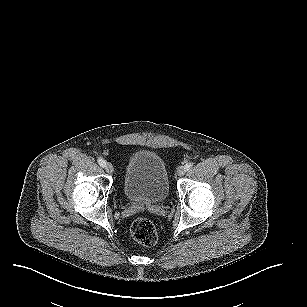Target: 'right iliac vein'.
Segmentation results:
<instances>
[{
  "mask_svg": "<svg viewBox=\"0 0 307 307\" xmlns=\"http://www.w3.org/2000/svg\"><path fill=\"white\" fill-rule=\"evenodd\" d=\"M104 168H105V170H106L107 173L113 174V172H114V167H113V165H112L110 162H107V163L105 164Z\"/></svg>",
  "mask_w": 307,
  "mask_h": 307,
  "instance_id": "right-iliac-vein-1",
  "label": "right iliac vein"
}]
</instances>
